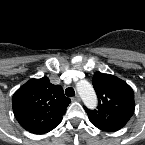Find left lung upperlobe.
<instances>
[{"instance_id":"5c2ea615","label":"left lung upper lobe","mask_w":145,"mask_h":145,"mask_svg":"<svg viewBox=\"0 0 145 145\" xmlns=\"http://www.w3.org/2000/svg\"><path fill=\"white\" fill-rule=\"evenodd\" d=\"M92 83L98 96V107L97 110L84 107L90 122L103 131L120 130L134 113L132 88L118 77L100 72L94 74Z\"/></svg>"}]
</instances>
